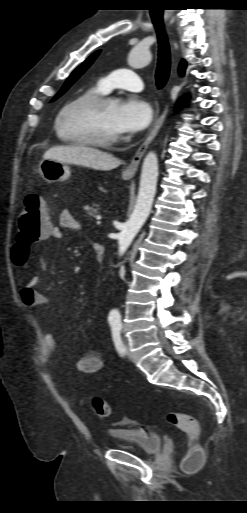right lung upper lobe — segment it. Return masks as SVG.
<instances>
[{"mask_svg": "<svg viewBox=\"0 0 247 513\" xmlns=\"http://www.w3.org/2000/svg\"><path fill=\"white\" fill-rule=\"evenodd\" d=\"M185 69H186V61H185V60H182V61H181V63H180V65H179V74H180L181 76H183V75H184V73H185Z\"/></svg>", "mask_w": 247, "mask_h": 513, "instance_id": "1", "label": "right lung upper lobe"}]
</instances>
